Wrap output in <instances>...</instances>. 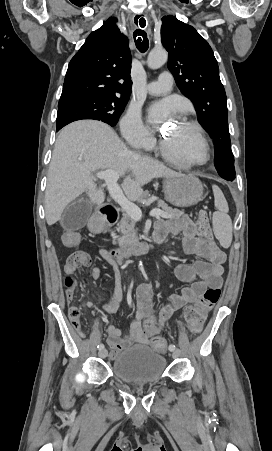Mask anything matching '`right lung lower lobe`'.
<instances>
[{
  "instance_id": "98d812e1",
  "label": "right lung lower lobe",
  "mask_w": 272,
  "mask_h": 451,
  "mask_svg": "<svg viewBox=\"0 0 272 451\" xmlns=\"http://www.w3.org/2000/svg\"><path fill=\"white\" fill-rule=\"evenodd\" d=\"M62 128V127H61ZM61 128H57L56 130L59 131Z\"/></svg>"
}]
</instances>
